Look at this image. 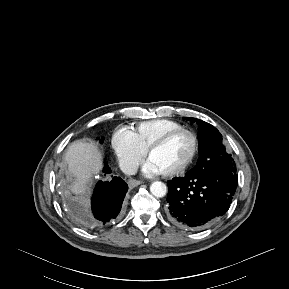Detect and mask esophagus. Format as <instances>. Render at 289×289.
I'll return each instance as SVG.
<instances>
[{"label":"esophagus","instance_id":"1","mask_svg":"<svg viewBox=\"0 0 289 289\" xmlns=\"http://www.w3.org/2000/svg\"><path fill=\"white\" fill-rule=\"evenodd\" d=\"M140 184H142V181H140V180L130 179L128 181V185H129L130 188H134V187H136V186H138Z\"/></svg>","mask_w":289,"mask_h":289}]
</instances>
